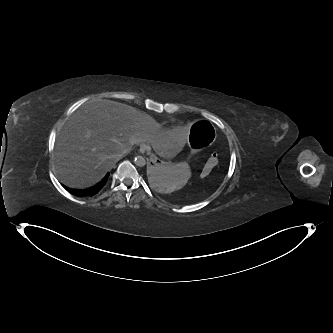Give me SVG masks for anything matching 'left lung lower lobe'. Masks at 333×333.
<instances>
[{
  "instance_id": "1",
  "label": "left lung lower lobe",
  "mask_w": 333,
  "mask_h": 333,
  "mask_svg": "<svg viewBox=\"0 0 333 333\" xmlns=\"http://www.w3.org/2000/svg\"><path fill=\"white\" fill-rule=\"evenodd\" d=\"M150 173H151V175H153V174H154L153 172H150ZM150 173H149V170H148V175H149ZM154 187H155V186H154Z\"/></svg>"
}]
</instances>
